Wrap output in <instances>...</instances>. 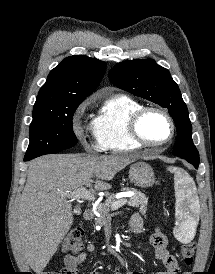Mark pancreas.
I'll return each mask as SVG.
<instances>
[{
    "label": "pancreas",
    "instance_id": "cf45deb5",
    "mask_svg": "<svg viewBox=\"0 0 215 274\" xmlns=\"http://www.w3.org/2000/svg\"><path fill=\"white\" fill-rule=\"evenodd\" d=\"M122 191H131L134 195L130 198L128 205L131 207H140V212L142 214L146 213L148 198L144 193L137 191L134 188H123ZM116 202L115 195H110L104 203L98 207V216L95 218V225H103L107 220L110 219L111 215L109 214L112 204Z\"/></svg>",
    "mask_w": 215,
    "mask_h": 274
}]
</instances>
